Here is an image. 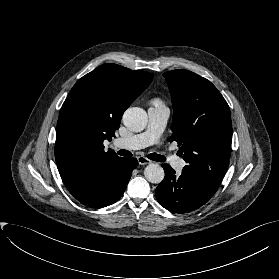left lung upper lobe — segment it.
I'll use <instances>...</instances> for the list:
<instances>
[{
  "label": "left lung upper lobe",
  "instance_id": "1",
  "mask_svg": "<svg viewBox=\"0 0 279 279\" xmlns=\"http://www.w3.org/2000/svg\"><path fill=\"white\" fill-rule=\"evenodd\" d=\"M174 109L170 141L187 165L182 172L219 187L228 169L232 139L230 109L216 87L188 70L163 74Z\"/></svg>",
  "mask_w": 279,
  "mask_h": 279
}]
</instances>
